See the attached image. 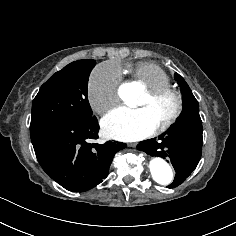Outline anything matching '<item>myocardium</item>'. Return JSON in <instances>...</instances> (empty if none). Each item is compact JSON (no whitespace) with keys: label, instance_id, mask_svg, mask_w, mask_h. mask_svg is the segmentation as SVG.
<instances>
[{"label":"myocardium","instance_id":"f54148a6","mask_svg":"<svg viewBox=\"0 0 236 236\" xmlns=\"http://www.w3.org/2000/svg\"><path fill=\"white\" fill-rule=\"evenodd\" d=\"M146 95L151 103H156L164 98H171L173 109L165 122L154 128V133L160 134L168 131L182 116L184 111V98L182 93L172 86H162L147 90Z\"/></svg>","mask_w":236,"mask_h":236}]
</instances>
